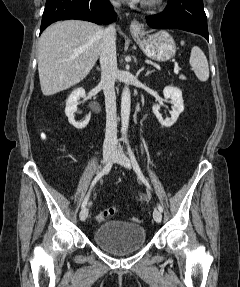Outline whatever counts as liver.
Wrapping results in <instances>:
<instances>
[{
    "label": "liver",
    "instance_id": "liver-1",
    "mask_svg": "<svg viewBox=\"0 0 240 287\" xmlns=\"http://www.w3.org/2000/svg\"><path fill=\"white\" fill-rule=\"evenodd\" d=\"M102 37L103 29L87 21L66 20L49 26L38 48L43 95L56 94L82 81L98 60Z\"/></svg>",
    "mask_w": 240,
    "mask_h": 287
}]
</instances>
